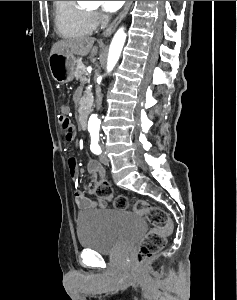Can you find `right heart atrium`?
<instances>
[{"mask_svg": "<svg viewBox=\"0 0 237 300\" xmlns=\"http://www.w3.org/2000/svg\"><path fill=\"white\" fill-rule=\"evenodd\" d=\"M100 22V16L94 15L93 16V24L96 26Z\"/></svg>", "mask_w": 237, "mask_h": 300, "instance_id": "obj_1", "label": "right heart atrium"}]
</instances>
